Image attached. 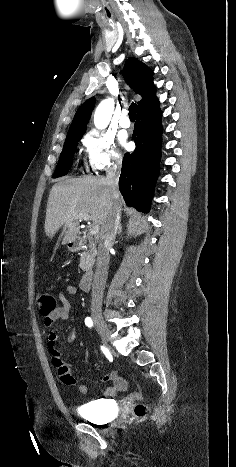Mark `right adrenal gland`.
I'll return each instance as SVG.
<instances>
[{
	"instance_id": "2a0ac1e0",
	"label": "right adrenal gland",
	"mask_w": 236,
	"mask_h": 467,
	"mask_svg": "<svg viewBox=\"0 0 236 467\" xmlns=\"http://www.w3.org/2000/svg\"><path fill=\"white\" fill-rule=\"evenodd\" d=\"M121 232H122V226H121V223H119V226H118V234L120 235Z\"/></svg>"
}]
</instances>
